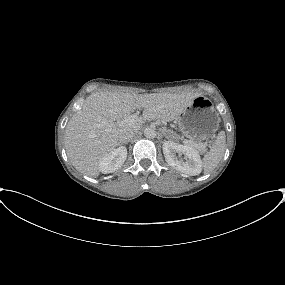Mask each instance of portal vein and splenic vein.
I'll return each instance as SVG.
<instances>
[{
    "instance_id": "portal-vein-and-splenic-vein-1",
    "label": "portal vein and splenic vein",
    "mask_w": 285,
    "mask_h": 285,
    "mask_svg": "<svg viewBox=\"0 0 285 285\" xmlns=\"http://www.w3.org/2000/svg\"><path fill=\"white\" fill-rule=\"evenodd\" d=\"M138 119V116L137 115H130L129 117H126L122 120H119L117 122H113V123H108V122H102V125H107L109 127H112V126H123V125H126V124H130V123H135ZM186 143L190 144V145H193L195 146V144L190 141V140H186L185 141Z\"/></svg>"
}]
</instances>
